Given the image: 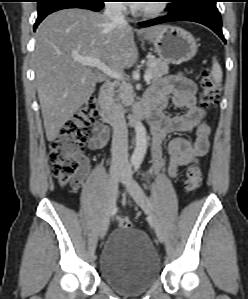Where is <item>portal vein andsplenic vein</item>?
Returning a JSON list of instances; mask_svg holds the SVG:
<instances>
[{"label": "portal vein and splenic vein", "mask_w": 248, "mask_h": 299, "mask_svg": "<svg viewBox=\"0 0 248 299\" xmlns=\"http://www.w3.org/2000/svg\"><path fill=\"white\" fill-rule=\"evenodd\" d=\"M75 59H76V61H78L83 66L96 67L97 69H99L100 71H102L103 73H105L106 75H108V76H110L114 79H118V80H123L124 79V77L121 73L112 70L107 65L102 63L101 60H99L97 58H93V57H76ZM144 80L146 82H150L151 74L149 72L145 73Z\"/></svg>", "instance_id": "18ae733b"}]
</instances>
